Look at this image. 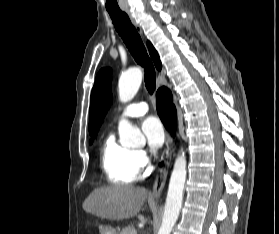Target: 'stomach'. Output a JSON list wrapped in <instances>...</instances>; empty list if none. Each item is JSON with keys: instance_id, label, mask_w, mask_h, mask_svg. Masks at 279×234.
I'll use <instances>...</instances> for the list:
<instances>
[{"instance_id": "0dacf381", "label": "stomach", "mask_w": 279, "mask_h": 234, "mask_svg": "<svg viewBox=\"0 0 279 234\" xmlns=\"http://www.w3.org/2000/svg\"><path fill=\"white\" fill-rule=\"evenodd\" d=\"M100 234H119L117 229L107 225H99Z\"/></svg>"}]
</instances>
